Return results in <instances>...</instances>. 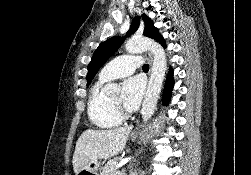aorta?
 Wrapping results in <instances>:
<instances>
[{"mask_svg": "<svg viewBox=\"0 0 251 175\" xmlns=\"http://www.w3.org/2000/svg\"><path fill=\"white\" fill-rule=\"evenodd\" d=\"M125 50L128 54H139V52L150 50L153 56L150 80L141 107L142 119L146 123L156 107L165 78L167 70L166 54L160 44H157L154 40H149V38H131L126 42ZM106 89L119 88L117 84H106Z\"/></svg>", "mask_w": 251, "mask_h": 175, "instance_id": "1", "label": "aorta"}]
</instances>
